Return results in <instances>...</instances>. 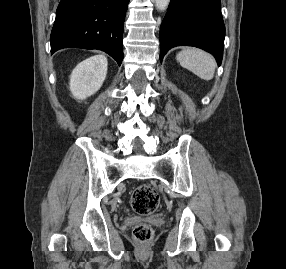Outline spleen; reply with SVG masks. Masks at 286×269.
<instances>
[{
    "label": "spleen",
    "mask_w": 286,
    "mask_h": 269,
    "mask_svg": "<svg viewBox=\"0 0 286 269\" xmlns=\"http://www.w3.org/2000/svg\"><path fill=\"white\" fill-rule=\"evenodd\" d=\"M176 59L182 67L188 69L203 80H211L214 76L216 67L215 60L205 51L188 48L179 52Z\"/></svg>",
    "instance_id": "obj_1"
}]
</instances>
